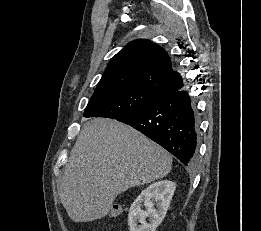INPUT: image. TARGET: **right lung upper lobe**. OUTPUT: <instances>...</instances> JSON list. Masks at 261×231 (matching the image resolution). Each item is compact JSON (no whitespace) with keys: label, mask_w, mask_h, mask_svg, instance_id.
Wrapping results in <instances>:
<instances>
[{"label":"right lung upper lobe","mask_w":261,"mask_h":231,"mask_svg":"<svg viewBox=\"0 0 261 231\" xmlns=\"http://www.w3.org/2000/svg\"><path fill=\"white\" fill-rule=\"evenodd\" d=\"M129 86L162 98L182 89L184 83L162 47L150 40L138 39L111 59L95 92Z\"/></svg>","instance_id":"right-lung-upper-lobe-1"}]
</instances>
